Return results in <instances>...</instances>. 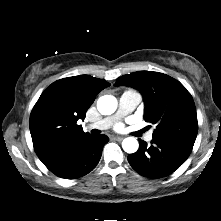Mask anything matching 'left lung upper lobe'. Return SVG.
I'll return each mask as SVG.
<instances>
[{
  "instance_id": "5c2ea615",
  "label": "left lung upper lobe",
  "mask_w": 221,
  "mask_h": 221,
  "mask_svg": "<svg viewBox=\"0 0 221 221\" xmlns=\"http://www.w3.org/2000/svg\"><path fill=\"white\" fill-rule=\"evenodd\" d=\"M122 85L142 93L144 119L157 125L153 137L194 145L198 131L196 108L191 94L179 81L163 73L139 71L121 76L115 86Z\"/></svg>"
}]
</instances>
